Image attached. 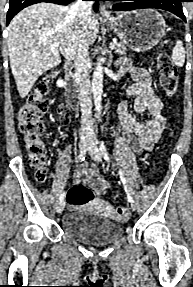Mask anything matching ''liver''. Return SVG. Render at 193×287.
I'll use <instances>...</instances> for the list:
<instances>
[{
	"label": "liver",
	"mask_w": 193,
	"mask_h": 287,
	"mask_svg": "<svg viewBox=\"0 0 193 287\" xmlns=\"http://www.w3.org/2000/svg\"><path fill=\"white\" fill-rule=\"evenodd\" d=\"M98 33L96 17L83 28L69 6L38 3L19 12L8 26L7 46L20 97L25 98L44 72L61 63L60 53L72 60L83 36L89 46ZM54 43L60 45L53 47Z\"/></svg>",
	"instance_id": "6515ba94"
}]
</instances>
